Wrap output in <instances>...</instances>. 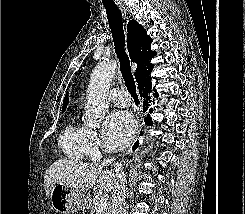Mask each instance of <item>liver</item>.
Segmentation results:
<instances>
[{
	"label": "liver",
	"instance_id": "6515ba94",
	"mask_svg": "<svg viewBox=\"0 0 245 214\" xmlns=\"http://www.w3.org/2000/svg\"><path fill=\"white\" fill-rule=\"evenodd\" d=\"M104 166L96 163H81L76 160L61 158L46 171L44 186L46 196L51 195L56 184H62L79 190L111 192L118 179L114 170L103 171Z\"/></svg>",
	"mask_w": 245,
	"mask_h": 214
}]
</instances>
